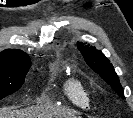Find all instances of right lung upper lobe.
<instances>
[{
    "instance_id": "1",
    "label": "right lung upper lobe",
    "mask_w": 133,
    "mask_h": 118,
    "mask_svg": "<svg viewBox=\"0 0 133 118\" xmlns=\"http://www.w3.org/2000/svg\"><path fill=\"white\" fill-rule=\"evenodd\" d=\"M30 64L29 56L23 51L7 49L0 54V68H15Z\"/></svg>"
}]
</instances>
